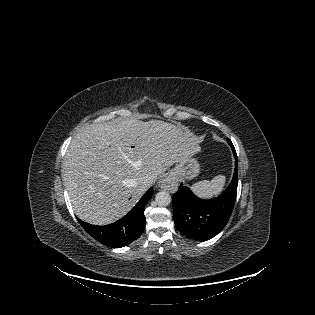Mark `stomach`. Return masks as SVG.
I'll return each mask as SVG.
<instances>
[{
	"label": "stomach",
	"instance_id": "stomach-1",
	"mask_svg": "<svg viewBox=\"0 0 315 315\" xmlns=\"http://www.w3.org/2000/svg\"><path fill=\"white\" fill-rule=\"evenodd\" d=\"M200 172V166L196 159L190 157L184 162H179L169 172V175L176 181L191 180L198 176Z\"/></svg>",
	"mask_w": 315,
	"mask_h": 315
}]
</instances>
